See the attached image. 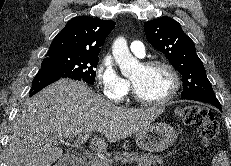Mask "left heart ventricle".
<instances>
[{
    "mask_svg": "<svg viewBox=\"0 0 231 166\" xmlns=\"http://www.w3.org/2000/svg\"><path fill=\"white\" fill-rule=\"evenodd\" d=\"M131 81L139 95L147 100L164 98L172 86L169 72L160 66L145 68L140 65L132 74Z\"/></svg>",
    "mask_w": 231,
    "mask_h": 166,
    "instance_id": "left-heart-ventricle-1",
    "label": "left heart ventricle"
}]
</instances>
